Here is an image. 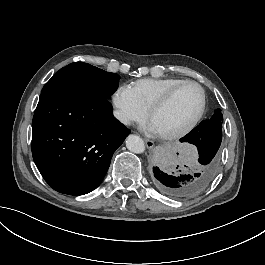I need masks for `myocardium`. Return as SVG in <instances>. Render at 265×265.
<instances>
[{"instance_id": "myocardium-1", "label": "myocardium", "mask_w": 265, "mask_h": 265, "mask_svg": "<svg viewBox=\"0 0 265 265\" xmlns=\"http://www.w3.org/2000/svg\"><path fill=\"white\" fill-rule=\"evenodd\" d=\"M187 84H193L198 87V89L201 92V105L199 107V110L197 114L194 116V118L182 129L165 134V135H159V138L165 141L168 140H175L182 138L189 134L200 122L202 119L205 111H206V106H207V92L205 87L199 83L196 80L192 79H184L174 85L172 88H170L153 106L152 108L148 111V121H150L151 117L153 116L154 113L162 109L164 106H166L169 101L174 97V95L180 90L181 87Z\"/></svg>"}]
</instances>
